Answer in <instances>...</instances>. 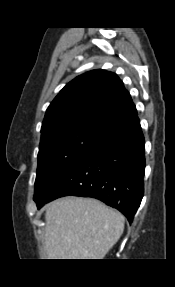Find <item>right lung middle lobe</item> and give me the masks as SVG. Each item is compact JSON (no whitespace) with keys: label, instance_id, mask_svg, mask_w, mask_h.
<instances>
[{"label":"right lung middle lobe","instance_id":"right-lung-middle-lobe-1","mask_svg":"<svg viewBox=\"0 0 175 287\" xmlns=\"http://www.w3.org/2000/svg\"><path fill=\"white\" fill-rule=\"evenodd\" d=\"M114 128L101 122L62 125L41 136L35 194H43L73 163Z\"/></svg>","mask_w":175,"mask_h":287}]
</instances>
